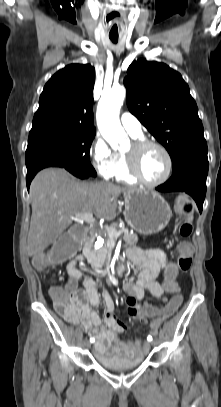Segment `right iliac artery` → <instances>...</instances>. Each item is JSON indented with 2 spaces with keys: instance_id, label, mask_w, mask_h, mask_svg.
<instances>
[{
  "instance_id": "1",
  "label": "right iliac artery",
  "mask_w": 221,
  "mask_h": 407,
  "mask_svg": "<svg viewBox=\"0 0 221 407\" xmlns=\"http://www.w3.org/2000/svg\"><path fill=\"white\" fill-rule=\"evenodd\" d=\"M90 342H91V343L94 342V338L91 337V338H90Z\"/></svg>"
}]
</instances>
